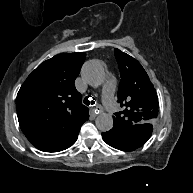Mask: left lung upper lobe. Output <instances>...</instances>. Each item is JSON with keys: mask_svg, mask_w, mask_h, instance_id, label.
I'll return each mask as SVG.
<instances>
[{"mask_svg": "<svg viewBox=\"0 0 193 193\" xmlns=\"http://www.w3.org/2000/svg\"><path fill=\"white\" fill-rule=\"evenodd\" d=\"M121 81L118 89V102L123 111L115 113V126L151 125L158 115V97L146 71L130 55L115 49Z\"/></svg>", "mask_w": 193, "mask_h": 193, "instance_id": "left-lung-upper-lobe-1", "label": "left lung upper lobe"}]
</instances>
